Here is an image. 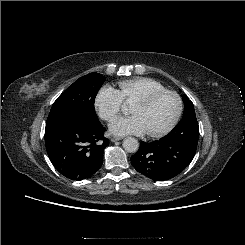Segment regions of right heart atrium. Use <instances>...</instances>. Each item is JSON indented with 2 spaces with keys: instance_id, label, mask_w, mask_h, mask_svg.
I'll return each mask as SVG.
<instances>
[{
  "instance_id": "right-heart-atrium-1",
  "label": "right heart atrium",
  "mask_w": 245,
  "mask_h": 245,
  "mask_svg": "<svg viewBox=\"0 0 245 245\" xmlns=\"http://www.w3.org/2000/svg\"><path fill=\"white\" fill-rule=\"evenodd\" d=\"M122 103L118 91L109 86L100 88L94 100L98 115L106 121L112 120L121 112Z\"/></svg>"
}]
</instances>
